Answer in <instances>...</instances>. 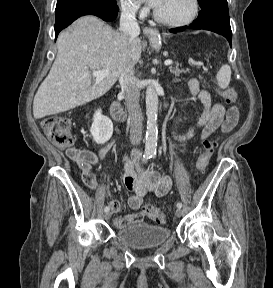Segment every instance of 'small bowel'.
I'll use <instances>...</instances> for the list:
<instances>
[{
    "label": "small bowel",
    "mask_w": 273,
    "mask_h": 288,
    "mask_svg": "<svg viewBox=\"0 0 273 288\" xmlns=\"http://www.w3.org/2000/svg\"><path fill=\"white\" fill-rule=\"evenodd\" d=\"M189 88L193 95L198 96L204 106L198 119V127L201 128L200 137L203 141L218 129L222 133H227L236 127L239 120V110L236 106L226 108L221 103H213L209 92L200 89L196 79L189 81ZM193 135V131H188L184 135H176V138L179 141H185L192 138ZM107 150V146L102 147L98 152L76 147L67 150L68 157L81 169L83 183L92 190H95L98 185L93 167L104 158ZM138 158L137 153L132 157H124V183L132 192L128 204L132 209L138 211L134 214L116 217L114 225L118 228L142 223L145 217L141 210L144 197L148 193L163 197L172 187V180L169 176L160 175L150 168L141 169ZM109 204L113 213H118L122 209V205L115 200L110 201Z\"/></svg>",
    "instance_id": "obj_1"
}]
</instances>
